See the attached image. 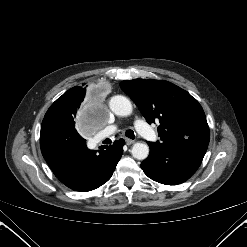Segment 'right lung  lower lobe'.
Segmentation results:
<instances>
[{
    "mask_svg": "<svg viewBox=\"0 0 247 247\" xmlns=\"http://www.w3.org/2000/svg\"><path fill=\"white\" fill-rule=\"evenodd\" d=\"M123 139L99 151L89 150L75 125L44 118L41 125V152L55 176L79 192L94 190L112 176L123 153Z\"/></svg>",
    "mask_w": 247,
    "mask_h": 247,
    "instance_id": "right-lung-lower-lobe-1",
    "label": "right lung lower lobe"
}]
</instances>
